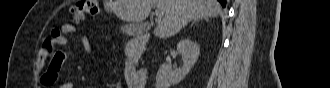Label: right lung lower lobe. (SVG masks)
Returning a JSON list of instances; mask_svg holds the SVG:
<instances>
[{
    "mask_svg": "<svg viewBox=\"0 0 330 88\" xmlns=\"http://www.w3.org/2000/svg\"><path fill=\"white\" fill-rule=\"evenodd\" d=\"M220 2V4L225 7L226 6V0H218Z\"/></svg>",
    "mask_w": 330,
    "mask_h": 88,
    "instance_id": "98d812e1",
    "label": "right lung lower lobe"
}]
</instances>
